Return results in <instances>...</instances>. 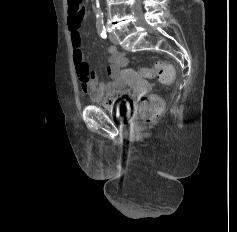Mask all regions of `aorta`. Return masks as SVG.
I'll list each match as a JSON object with an SVG mask.
<instances>
[{
  "label": "aorta",
  "instance_id": "762f6f07",
  "mask_svg": "<svg viewBox=\"0 0 237 232\" xmlns=\"http://www.w3.org/2000/svg\"><path fill=\"white\" fill-rule=\"evenodd\" d=\"M96 19L98 22L103 21V12L100 9L99 0H96Z\"/></svg>",
  "mask_w": 237,
  "mask_h": 232
}]
</instances>
